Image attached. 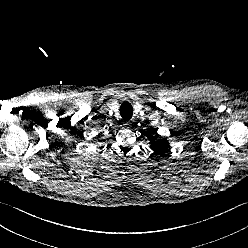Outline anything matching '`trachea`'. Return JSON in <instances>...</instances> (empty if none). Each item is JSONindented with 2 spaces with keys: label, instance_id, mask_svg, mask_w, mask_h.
Returning <instances> with one entry per match:
<instances>
[{
  "label": "trachea",
  "instance_id": "1",
  "mask_svg": "<svg viewBox=\"0 0 248 248\" xmlns=\"http://www.w3.org/2000/svg\"><path fill=\"white\" fill-rule=\"evenodd\" d=\"M120 115L124 120L131 119L133 115V107L129 102H124L120 106Z\"/></svg>",
  "mask_w": 248,
  "mask_h": 248
}]
</instances>
